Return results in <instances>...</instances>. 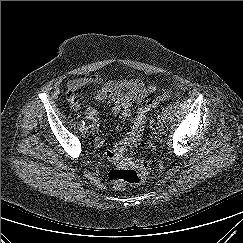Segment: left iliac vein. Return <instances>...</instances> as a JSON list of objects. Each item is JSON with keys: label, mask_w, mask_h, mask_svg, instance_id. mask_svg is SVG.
Instances as JSON below:
<instances>
[{"label": "left iliac vein", "mask_w": 243, "mask_h": 243, "mask_svg": "<svg viewBox=\"0 0 243 243\" xmlns=\"http://www.w3.org/2000/svg\"><path fill=\"white\" fill-rule=\"evenodd\" d=\"M156 129L158 130V131H161L162 129H163V124L161 123V122H157L156 123Z\"/></svg>", "instance_id": "1"}]
</instances>
